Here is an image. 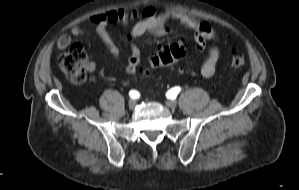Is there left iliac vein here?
<instances>
[{"mask_svg": "<svg viewBox=\"0 0 299 190\" xmlns=\"http://www.w3.org/2000/svg\"><path fill=\"white\" fill-rule=\"evenodd\" d=\"M166 106L171 109H175L177 107V102L174 100H169L166 102Z\"/></svg>", "mask_w": 299, "mask_h": 190, "instance_id": "4c4485c4", "label": "left iliac vein"}]
</instances>
